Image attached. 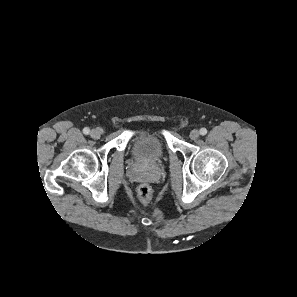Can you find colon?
<instances>
[{"label": "colon", "mask_w": 297, "mask_h": 297, "mask_svg": "<svg viewBox=\"0 0 297 297\" xmlns=\"http://www.w3.org/2000/svg\"><path fill=\"white\" fill-rule=\"evenodd\" d=\"M139 200L146 204L152 199V189L149 185L143 184L138 189Z\"/></svg>", "instance_id": "obj_1"}]
</instances>
